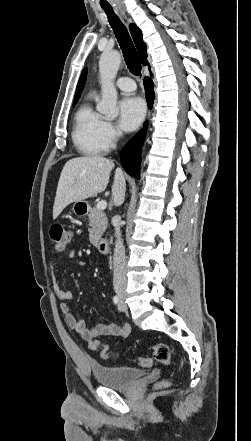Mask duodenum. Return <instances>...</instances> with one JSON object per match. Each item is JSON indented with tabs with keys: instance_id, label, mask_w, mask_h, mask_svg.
<instances>
[{
	"instance_id": "duodenum-1",
	"label": "duodenum",
	"mask_w": 251,
	"mask_h": 441,
	"mask_svg": "<svg viewBox=\"0 0 251 441\" xmlns=\"http://www.w3.org/2000/svg\"><path fill=\"white\" fill-rule=\"evenodd\" d=\"M97 248L101 253H108L110 249V244L107 239H100L97 242Z\"/></svg>"
}]
</instances>
